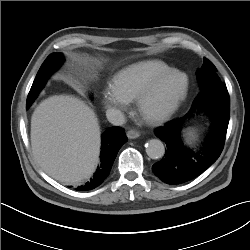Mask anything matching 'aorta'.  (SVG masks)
Returning a JSON list of instances; mask_svg holds the SVG:
<instances>
[{
  "label": "aorta",
  "mask_w": 250,
  "mask_h": 250,
  "mask_svg": "<svg viewBox=\"0 0 250 250\" xmlns=\"http://www.w3.org/2000/svg\"><path fill=\"white\" fill-rule=\"evenodd\" d=\"M146 153L151 159H160L165 153L164 144L159 139H151L146 144Z\"/></svg>",
  "instance_id": "1"
}]
</instances>
